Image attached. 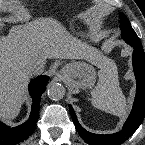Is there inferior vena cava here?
<instances>
[{
  "instance_id": "602c4592",
  "label": "inferior vena cava",
  "mask_w": 145,
  "mask_h": 145,
  "mask_svg": "<svg viewBox=\"0 0 145 145\" xmlns=\"http://www.w3.org/2000/svg\"><path fill=\"white\" fill-rule=\"evenodd\" d=\"M46 61L44 60H38L36 62H32L26 65V72L29 75L32 74H39L43 71L44 65H45Z\"/></svg>"
}]
</instances>
